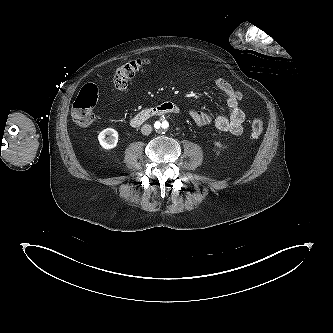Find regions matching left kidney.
Instances as JSON below:
<instances>
[{
  "label": "left kidney",
  "mask_w": 333,
  "mask_h": 333,
  "mask_svg": "<svg viewBox=\"0 0 333 333\" xmlns=\"http://www.w3.org/2000/svg\"><path fill=\"white\" fill-rule=\"evenodd\" d=\"M216 146H217V147H220V144H219V143H216Z\"/></svg>",
  "instance_id": "left-kidney-1"
}]
</instances>
